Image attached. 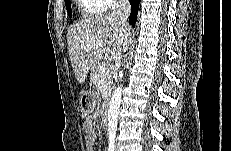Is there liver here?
Instances as JSON below:
<instances>
[{
	"label": "liver",
	"instance_id": "liver-1",
	"mask_svg": "<svg viewBox=\"0 0 231 151\" xmlns=\"http://www.w3.org/2000/svg\"><path fill=\"white\" fill-rule=\"evenodd\" d=\"M67 43L75 77L82 85L88 73L93 75L103 54L119 63L130 43V31L111 15L93 16L76 22L68 30ZM95 43H101V47L89 50Z\"/></svg>",
	"mask_w": 231,
	"mask_h": 151
}]
</instances>
